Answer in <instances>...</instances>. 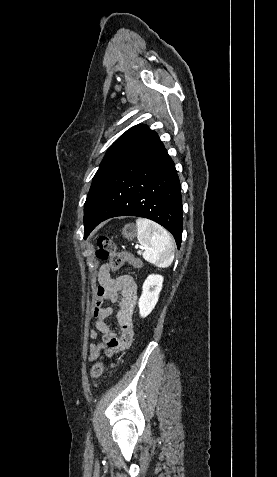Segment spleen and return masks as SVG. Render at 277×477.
I'll list each match as a JSON object with an SVG mask.
<instances>
[{"label": "spleen", "mask_w": 277, "mask_h": 477, "mask_svg": "<svg viewBox=\"0 0 277 477\" xmlns=\"http://www.w3.org/2000/svg\"><path fill=\"white\" fill-rule=\"evenodd\" d=\"M137 239L143 246V258L160 268L171 265L175 246L170 234L159 224L144 218L136 220Z\"/></svg>", "instance_id": "obj_1"}]
</instances>
